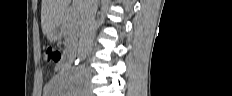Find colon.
Returning a JSON list of instances; mask_svg holds the SVG:
<instances>
[{"instance_id": "obj_1", "label": "colon", "mask_w": 232, "mask_h": 96, "mask_svg": "<svg viewBox=\"0 0 232 96\" xmlns=\"http://www.w3.org/2000/svg\"><path fill=\"white\" fill-rule=\"evenodd\" d=\"M47 60L51 63H59L61 60V52L53 47H48L46 49Z\"/></svg>"}]
</instances>
